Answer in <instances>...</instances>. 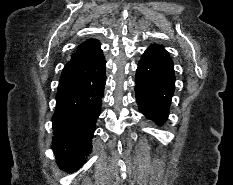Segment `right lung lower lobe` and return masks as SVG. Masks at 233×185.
Returning <instances> with one entry per match:
<instances>
[{
	"label": "right lung lower lobe",
	"instance_id": "right-lung-lower-lobe-1",
	"mask_svg": "<svg viewBox=\"0 0 233 185\" xmlns=\"http://www.w3.org/2000/svg\"><path fill=\"white\" fill-rule=\"evenodd\" d=\"M106 61H69L61 74L52 117V148L67 172L79 169L92 150L95 123L101 112Z\"/></svg>",
	"mask_w": 233,
	"mask_h": 185
}]
</instances>
